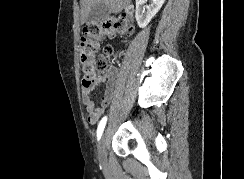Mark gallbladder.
Segmentation results:
<instances>
[{"mask_svg": "<svg viewBox=\"0 0 244 179\" xmlns=\"http://www.w3.org/2000/svg\"><path fill=\"white\" fill-rule=\"evenodd\" d=\"M110 14L109 8H107L105 2H97L95 6H93L87 22L90 24H100V22H105Z\"/></svg>", "mask_w": 244, "mask_h": 179, "instance_id": "gallbladder-1", "label": "gallbladder"}]
</instances>
